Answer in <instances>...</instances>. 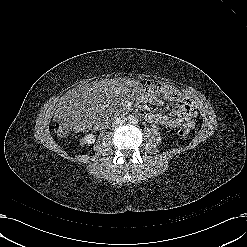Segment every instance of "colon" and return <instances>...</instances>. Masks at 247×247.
Listing matches in <instances>:
<instances>
[{
	"label": "colon",
	"instance_id": "colon-1",
	"mask_svg": "<svg viewBox=\"0 0 247 247\" xmlns=\"http://www.w3.org/2000/svg\"><path fill=\"white\" fill-rule=\"evenodd\" d=\"M147 92L152 97H157L162 92V87L157 82H152L147 87ZM191 128L189 126H184L180 128L179 135L184 136L190 132ZM56 133L59 137H66L68 135V129L64 123H57L56 124Z\"/></svg>",
	"mask_w": 247,
	"mask_h": 247
}]
</instances>
